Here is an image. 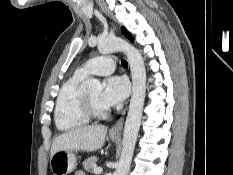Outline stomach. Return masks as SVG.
<instances>
[{
    "label": "stomach",
    "mask_w": 233,
    "mask_h": 175,
    "mask_svg": "<svg viewBox=\"0 0 233 175\" xmlns=\"http://www.w3.org/2000/svg\"><path fill=\"white\" fill-rule=\"evenodd\" d=\"M113 141L118 136H110ZM50 168L53 175H67L76 168V156L72 151L61 150L56 152L50 159Z\"/></svg>",
    "instance_id": "obj_1"
}]
</instances>
